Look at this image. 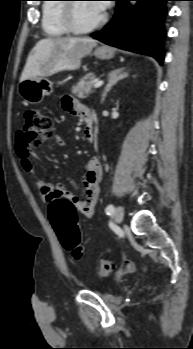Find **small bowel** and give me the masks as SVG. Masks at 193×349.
<instances>
[{"mask_svg": "<svg viewBox=\"0 0 193 349\" xmlns=\"http://www.w3.org/2000/svg\"><path fill=\"white\" fill-rule=\"evenodd\" d=\"M62 107L65 111L72 114H79L84 117V113L87 110L81 103L75 100L73 97L65 96L62 100ZM86 139L89 142L93 141L92 129L87 127L84 130ZM55 141L58 145L66 146L65 140L61 136H55ZM16 153L20 158L22 168L27 173L35 176L34 164L30 157L29 147L24 138L22 131H19L16 135ZM102 176V165L98 157H92L85 165V171L82 175V182L85 188V198L80 200L78 197L68 191L64 185L57 184L51 185L43 180L37 178V185L40 189L43 201L50 204L52 201L59 199H66L71 201L77 208V210L86 218H92L95 211V206L99 196V183ZM134 271V264L130 259H124L122 266L117 274L121 277L126 274H130Z\"/></svg>", "mask_w": 193, "mask_h": 349, "instance_id": "small-bowel-1", "label": "small bowel"}]
</instances>
